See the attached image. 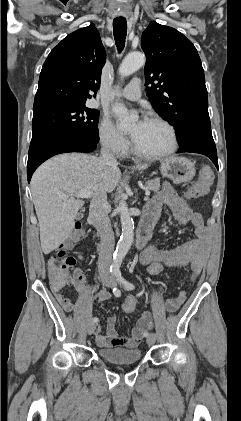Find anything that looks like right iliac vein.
Returning <instances> with one entry per match:
<instances>
[{"label": "right iliac vein", "instance_id": "63e3f726", "mask_svg": "<svg viewBox=\"0 0 241 421\" xmlns=\"http://www.w3.org/2000/svg\"><path fill=\"white\" fill-rule=\"evenodd\" d=\"M104 285L106 286H112L113 283L110 280H104ZM96 328V324L91 322L89 323L88 327H87V332L89 335L93 334Z\"/></svg>", "mask_w": 241, "mask_h": 421}]
</instances>
